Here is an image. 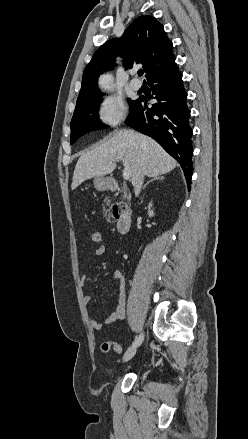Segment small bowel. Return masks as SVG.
<instances>
[{
    "instance_id": "1",
    "label": "small bowel",
    "mask_w": 248,
    "mask_h": 439,
    "mask_svg": "<svg viewBox=\"0 0 248 439\" xmlns=\"http://www.w3.org/2000/svg\"><path fill=\"white\" fill-rule=\"evenodd\" d=\"M106 251V247L105 245H100L98 246L95 251H94V255L95 256H101L105 253ZM113 279L119 284V300H118V305L117 307L113 310V312L105 319L104 323L105 324H113L116 323L118 321H121L125 318L126 316V311H125V304H126V283H125V278L123 273L120 270H115L113 272ZM85 283V277L83 276L81 279V284L82 286H84ZM91 296H85L84 297V302L86 304H88L91 301ZM90 326L94 329V330H101L103 328V324L96 321V320H90Z\"/></svg>"
}]
</instances>
